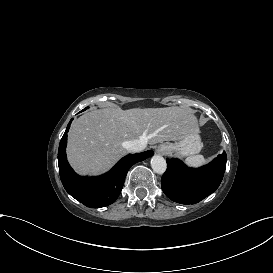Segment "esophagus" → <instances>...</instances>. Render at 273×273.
<instances>
[{"label": "esophagus", "instance_id": "1", "mask_svg": "<svg viewBox=\"0 0 273 273\" xmlns=\"http://www.w3.org/2000/svg\"><path fill=\"white\" fill-rule=\"evenodd\" d=\"M168 147L166 145H159L156 152L160 155H165L168 153Z\"/></svg>", "mask_w": 273, "mask_h": 273}]
</instances>
